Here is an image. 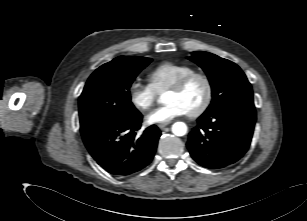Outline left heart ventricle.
I'll list each match as a JSON object with an SVG mask.
<instances>
[{"instance_id":"1","label":"left heart ventricle","mask_w":307,"mask_h":221,"mask_svg":"<svg viewBox=\"0 0 307 221\" xmlns=\"http://www.w3.org/2000/svg\"><path fill=\"white\" fill-rule=\"evenodd\" d=\"M205 94L206 88L204 82L200 79H194L180 92L168 91L165 96V102H178L186 112H191L202 104Z\"/></svg>"}]
</instances>
